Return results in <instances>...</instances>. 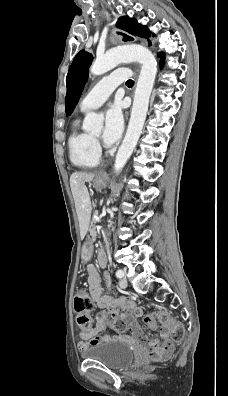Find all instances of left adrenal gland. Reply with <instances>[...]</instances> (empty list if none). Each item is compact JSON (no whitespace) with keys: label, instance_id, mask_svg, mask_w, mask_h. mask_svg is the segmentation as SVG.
<instances>
[{"label":"left adrenal gland","instance_id":"obj_1","mask_svg":"<svg viewBox=\"0 0 228 396\" xmlns=\"http://www.w3.org/2000/svg\"><path fill=\"white\" fill-rule=\"evenodd\" d=\"M108 202H113V200H112V199H109Z\"/></svg>","mask_w":228,"mask_h":396}]
</instances>
